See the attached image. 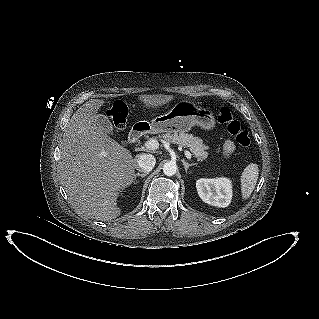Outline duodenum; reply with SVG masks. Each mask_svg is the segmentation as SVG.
Returning a JSON list of instances; mask_svg holds the SVG:
<instances>
[{"instance_id": "duodenum-1", "label": "duodenum", "mask_w": 319, "mask_h": 319, "mask_svg": "<svg viewBox=\"0 0 319 319\" xmlns=\"http://www.w3.org/2000/svg\"><path fill=\"white\" fill-rule=\"evenodd\" d=\"M149 130L150 126L146 123L135 125L128 135V142L131 144L137 142Z\"/></svg>"}]
</instances>
